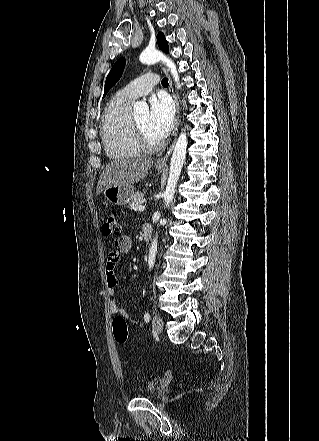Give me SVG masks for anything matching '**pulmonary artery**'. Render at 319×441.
Masks as SVG:
<instances>
[{
  "label": "pulmonary artery",
  "mask_w": 319,
  "mask_h": 441,
  "mask_svg": "<svg viewBox=\"0 0 319 441\" xmlns=\"http://www.w3.org/2000/svg\"><path fill=\"white\" fill-rule=\"evenodd\" d=\"M158 83L159 77L156 74H145L120 90L119 95L125 99L134 101L138 97L150 93Z\"/></svg>",
  "instance_id": "obj_1"
}]
</instances>
